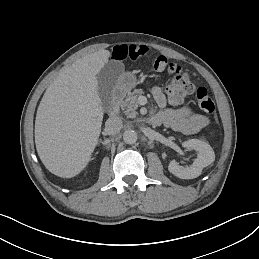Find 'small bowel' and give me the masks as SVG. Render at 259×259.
Segmentation results:
<instances>
[{
	"instance_id": "c3829d8e",
	"label": "small bowel",
	"mask_w": 259,
	"mask_h": 259,
	"mask_svg": "<svg viewBox=\"0 0 259 259\" xmlns=\"http://www.w3.org/2000/svg\"><path fill=\"white\" fill-rule=\"evenodd\" d=\"M147 52L148 48L144 45L120 44L112 48L111 58L117 62L126 59L137 60L145 56ZM152 94L160 108V111L151 119L153 124L163 125L184 134L197 133L209 124L206 116L195 113L189 107H168L167 98L160 87L155 86Z\"/></svg>"
}]
</instances>
